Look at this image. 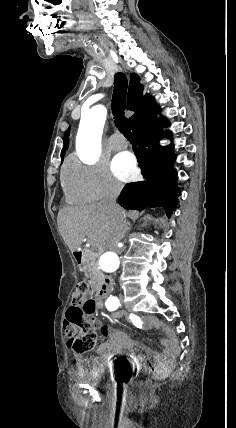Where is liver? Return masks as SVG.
<instances>
[{
  "label": "liver",
  "mask_w": 236,
  "mask_h": 428,
  "mask_svg": "<svg viewBox=\"0 0 236 428\" xmlns=\"http://www.w3.org/2000/svg\"><path fill=\"white\" fill-rule=\"evenodd\" d=\"M143 220L152 218L145 216ZM57 224L70 252H76L84 238L91 246H100L105 250L117 248L130 226L124 216L119 218L102 202L59 210Z\"/></svg>",
  "instance_id": "6515ba94"
}]
</instances>
